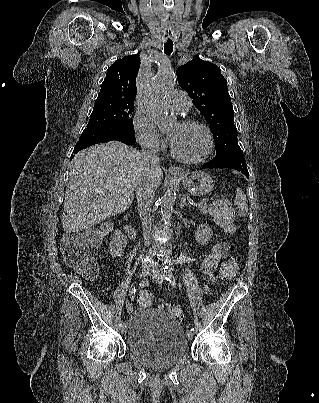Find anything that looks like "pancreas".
I'll list each match as a JSON object with an SVG mask.
<instances>
[{
  "label": "pancreas",
  "mask_w": 319,
  "mask_h": 403,
  "mask_svg": "<svg viewBox=\"0 0 319 403\" xmlns=\"http://www.w3.org/2000/svg\"><path fill=\"white\" fill-rule=\"evenodd\" d=\"M198 209L203 212L204 214L208 213V205L206 202L202 203L200 206H198Z\"/></svg>",
  "instance_id": "pancreas-1"
}]
</instances>
